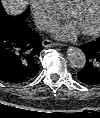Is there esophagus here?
<instances>
[{
    "label": "esophagus",
    "instance_id": "34e87169",
    "mask_svg": "<svg viewBox=\"0 0 100 118\" xmlns=\"http://www.w3.org/2000/svg\"><path fill=\"white\" fill-rule=\"evenodd\" d=\"M42 45L43 47L45 48H49V47H55V46H58L59 44L49 40V39H44L42 40Z\"/></svg>",
    "mask_w": 100,
    "mask_h": 118
}]
</instances>
